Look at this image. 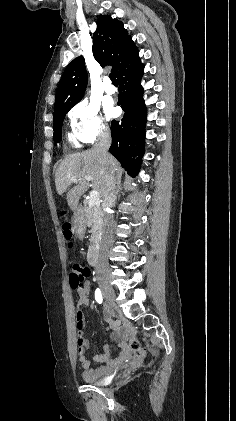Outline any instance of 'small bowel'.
Here are the masks:
<instances>
[{
    "label": "small bowel",
    "mask_w": 236,
    "mask_h": 421,
    "mask_svg": "<svg viewBox=\"0 0 236 421\" xmlns=\"http://www.w3.org/2000/svg\"><path fill=\"white\" fill-rule=\"evenodd\" d=\"M78 294H79V301H78L77 306H76V311H77V315H78V326H79V329H82L81 327L83 326V320H82L81 308L83 306L88 305L89 302H90L89 301V286L86 285L82 290H79ZM106 316L109 317V314H107ZM122 334H124V332ZM79 342H81L82 348L84 349L82 351V353L79 354L82 367L85 369L84 377L85 378H92L90 376L91 370H89L90 362L85 357L86 342L83 338L82 330L79 331ZM106 353H107V351H106Z\"/></svg>",
    "instance_id": "1"
}]
</instances>
